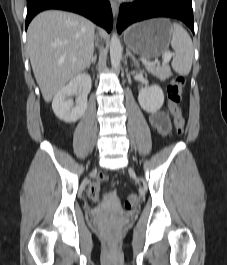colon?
I'll return each instance as SVG.
<instances>
[{
  "label": "colon",
  "instance_id": "colon-1",
  "mask_svg": "<svg viewBox=\"0 0 227 265\" xmlns=\"http://www.w3.org/2000/svg\"><path fill=\"white\" fill-rule=\"evenodd\" d=\"M185 86V79L182 76H175L170 80L167 88L168 107L173 118L176 132L181 135L184 133L185 120L181 110L182 94ZM108 180V176L100 174L97 180L92 183L88 190V196L93 202H97L100 197L101 184ZM138 197L135 194L129 195L124 202L126 209L130 210L138 204Z\"/></svg>",
  "mask_w": 227,
  "mask_h": 265
}]
</instances>
